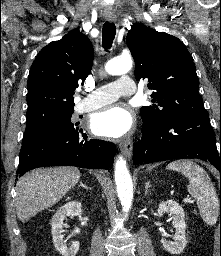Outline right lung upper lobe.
<instances>
[{
	"label": "right lung upper lobe",
	"instance_id": "cb5924a9",
	"mask_svg": "<svg viewBox=\"0 0 221 256\" xmlns=\"http://www.w3.org/2000/svg\"><path fill=\"white\" fill-rule=\"evenodd\" d=\"M94 50L88 37L71 32L45 46L36 56L28 77V110L73 107L74 91L90 74Z\"/></svg>",
	"mask_w": 221,
	"mask_h": 256
}]
</instances>
